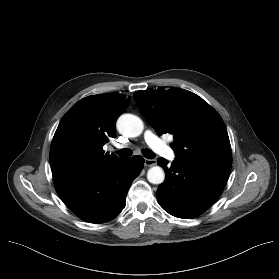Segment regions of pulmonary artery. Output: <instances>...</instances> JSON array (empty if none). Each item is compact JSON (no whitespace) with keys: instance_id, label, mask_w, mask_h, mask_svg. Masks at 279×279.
<instances>
[{"instance_id":"pulmonary-artery-1","label":"pulmonary artery","mask_w":279,"mask_h":279,"mask_svg":"<svg viewBox=\"0 0 279 279\" xmlns=\"http://www.w3.org/2000/svg\"><path fill=\"white\" fill-rule=\"evenodd\" d=\"M144 139L155 152L163 157L167 159H173L175 157L174 151L151 130H146L144 132Z\"/></svg>"}]
</instances>
